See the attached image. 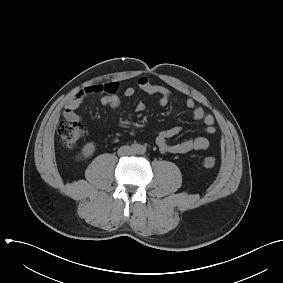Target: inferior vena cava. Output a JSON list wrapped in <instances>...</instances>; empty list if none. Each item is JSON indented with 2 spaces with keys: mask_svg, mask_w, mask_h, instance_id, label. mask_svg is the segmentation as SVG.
I'll return each instance as SVG.
<instances>
[{
  "mask_svg": "<svg viewBox=\"0 0 283 283\" xmlns=\"http://www.w3.org/2000/svg\"><path fill=\"white\" fill-rule=\"evenodd\" d=\"M133 153L134 151L130 146H122L118 149L119 156L132 155Z\"/></svg>",
  "mask_w": 283,
  "mask_h": 283,
  "instance_id": "obj_1",
  "label": "inferior vena cava"
}]
</instances>
